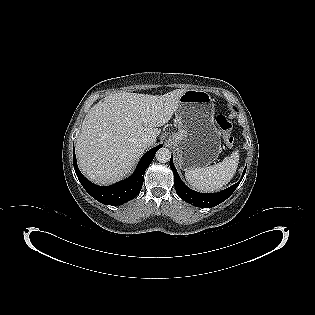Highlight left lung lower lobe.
<instances>
[{
  "label": "left lung lower lobe",
  "instance_id": "0a47b994",
  "mask_svg": "<svg viewBox=\"0 0 315 315\" xmlns=\"http://www.w3.org/2000/svg\"><path fill=\"white\" fill-rule=\"evenodd\" d=\"M170 168L172 169L173 173H174V185H175V190L178 194V196L183 199L184 201L197 206V207H202V208H210V207H214L218 204H220L221 202L225 201L228 197H230L232 195V193L234 192V190L238 187V185L240 184L246 168L243 171L241 180L232 185L231 187L222 190L218 193H213V194H202V193H198L195 192L191 189H189L180 179L176 168L173 164V158L171 156L170 159Z\"/></svg>",
  "mask_w": 315,
  "mask_h": 315
}]
</instances>
